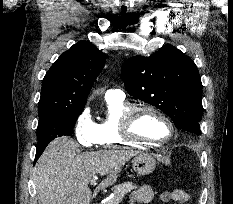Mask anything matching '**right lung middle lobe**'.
<instances>
[{
  "label": "right lung middle lobe",
  "instance_id": "obj_1",
  "mask_svg": "<svg viewBox=\"0 0 233 204\" xmlns=\"http://www.w3.org/2000/svg\"><path fill=\"white\" fill-rule=\"evenodd\" d=\"M82 110L39 117L37 146L46 145L56 137L71 135Z\"/></svg>",
  "mask_w": 233,
  "mask_h": 204
}]
</instances>
